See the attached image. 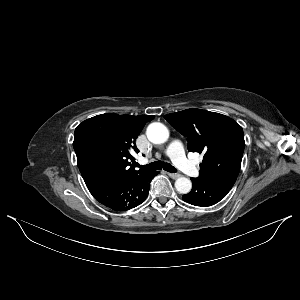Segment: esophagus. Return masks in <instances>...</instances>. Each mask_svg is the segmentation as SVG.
<instances>
[{
	"instance_id": "esophagus-1",
	"label": "esophagus",
	"mask_w": 300,
	"mask_h": 300,
	"mask_svg": "<svg viewBox=\"0 0 300 300\" xmlns=\"http://www.w3.org/2000/svg\"><path fill=\"white\" fill-rule=\"evenodd\" d=\"M168 175L172 178V179H177L179 178L181 175L180 174H175V173H168Z\"/></svg>"
}]
</instances>
